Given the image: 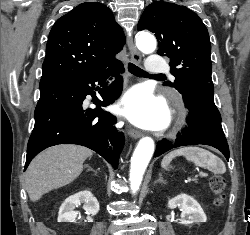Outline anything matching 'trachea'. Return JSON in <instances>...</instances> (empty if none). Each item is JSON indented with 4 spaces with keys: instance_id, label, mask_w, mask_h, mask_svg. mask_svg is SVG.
<instances>
[{
    "instance_id": "1",
    "label": "trachea",
    "mask_w": 250,
    "mask_h": 235,
    "mask_svg": "<svg viewBox=\"0 0 250 235\" xmlns=\"http://www.w3.org/2000/svg\"><path fill=\"white\" fill-rule=\"evenodd\" d=\"M128 70L136 76L165 77L163 74L149 75L147 72L132 63L128 64Z\"/></svg>"
}]
</instances>
